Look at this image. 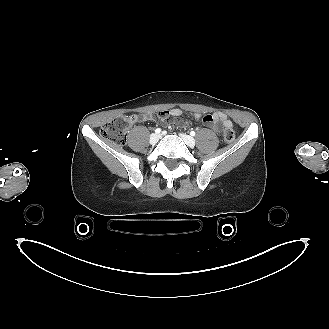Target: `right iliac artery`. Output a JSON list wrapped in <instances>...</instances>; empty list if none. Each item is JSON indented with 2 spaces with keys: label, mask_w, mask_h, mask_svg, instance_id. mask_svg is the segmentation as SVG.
I'll use <instances>...</instances> for the list:
<instances>
[{
  "label": "right iliac artery",
  "mask_w": 329,
  "mask_h": 329,
  "mask_svg": "<svg viewBox=\"0 0 329 329\" xmlns=\"http://www.w3.org/2000/svg\"><path fill=\"white\" fill-rule=\"evenodd\" d=\"M161 132V129L160 128H157L156 130H155V133H157V134H159Z\"/></svg>",
  "instance_id": "1"
}]
</instances>
